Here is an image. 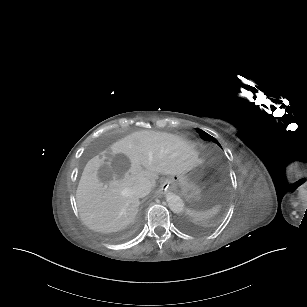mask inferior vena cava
Here are the masks:
<instances>
[{"label": "inferior vena cava", "instance_id": "inferior-vena-cava-1", "mask_svg": "<svg viewBox=\"0 0 307 307\" xmlns=\"http://www.w3.org/2000/svg\"><path fill=\"white\" fill-rule=\"evenodd\" d=\"M151 188V181L147 178H142L133 185L132 190L137 197L142 198L150 193Z\"/></svg>", "mask_w": 307, "mask_h": 307}]
</instances>
